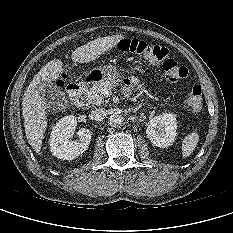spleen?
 I'll return each instance as SVG.
<instances>
[{"instance_id":"3e777b00","label":"spleen","mask_w":233,"mask_h":233,"mask_svg":"<svg viewBox=\"0 0 233 233\" xmlns=\"http://www.w3.org/2000/svg\"><path fill=\"white\" fill-rule=\"evenodd\" d=\"M199 142V134L197 132H192L188 134L182 141V156L183 158L189 157L191 153L195 150Z\"/></svg>"}]
</instances>
